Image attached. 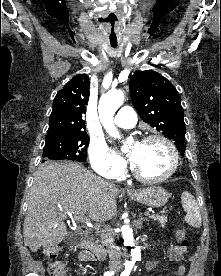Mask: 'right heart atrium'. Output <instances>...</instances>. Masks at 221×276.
<instances>
[{"label": "right heart atrium", "instance_id": "d8ad5b80", "mask_svg": "<svg viewBox=\"0 0 221 276\" xmlns=\"http://www.w3.org/2000/svg\"><path fill=\"white\" fill-rule=\"evenodd\" d=\"M88 153L91 166L99 175L118 179L124 174L126 162L103 139H92Z\"/></svg>", "mask_w": 221, "mask_h": 276}]
</instances>
